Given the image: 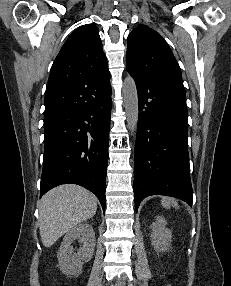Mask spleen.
Here are the masks:
<instances>
[{"label":"spleen","mask_w":231,"mask_h":286,"mask_svg":"<svg viewBox=\"0 0 231 286\" xmlns=\"http://www.w3.org/2000/svg\"><path fill=\"white\" fill-rule=\"evenodd\" d=\"M161 204L164 208H170L171 206L176 209L179 208L177 201L170 197H162Z\"/></svg>","instance_id":"spleen-1"}]
</instances>
